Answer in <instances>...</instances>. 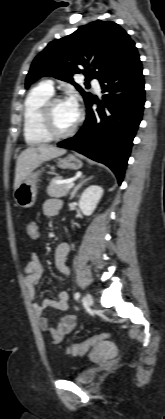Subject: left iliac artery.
Segmentation results:
<instances>
[{
  "instance_id": "44dca946",
  "label": "left iliac artery",
  "mask_w": 165,
  "mask_h": 419,
  "mask_svg": "<svg viewBox=\"0 0 165 419\" xmlns=\"http://www.w3.org/2000/svg\"><path fill=\"white\" fill-rule=\"evenodd\" d=\"M74 298H75L76 300H78V299L80 298V293H79V292H76V293H75V295H74Z\"/></svg>"
}]
</instances>
